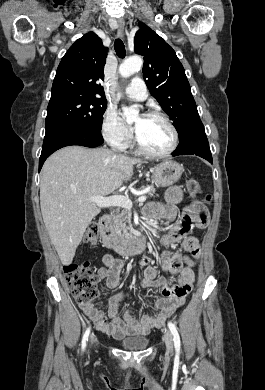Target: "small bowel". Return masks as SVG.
I'll use <instances>...</instances> for the list:
<instances>
[{
  "label": "small bowel",
  "instance_id": "small-bowel-1",
  "mask_svg": "<svg viewBox=\"0 0 265 390\" xmlns=\"http://www.w3.org/2000/svg\"><path fill=\"white\" fill-rule=\"evenodd\" d=\"M165 198L164 204H148L144 209L145 217L161 219L165 223L172 222L177 216V205L183 200L182 190L172 186L167 190ZM208 219V210L204 205L197 201L190 202L184 207L180 222L172 225L169 232L160 238L163 246L181 243L182 249L190 254L187 256L181 251H162L159 260L167 277H160L156 267L149 264L148 258L142 260L144 278L141 285L159 288L162 294L155 302L156 312L153 315H142L139 320H135L131 317V311L126 310L123 316H119V303L130 295L129 292H120L110 299V320L94 304L81 305V309L94 322L96 328L104 334L120 338L126 335H145L152 329L161 327L192 290L195 279L193 266L199 257V242L190 232L193 224L198 228L206 227ZM102 263L103 267L97 273L99 279L105 280L109 289L116 288L124 269V261L105 254ZM172 277L177 278L175 285L170 282Z\"/></svg>",
  "mask_w": 265,
  "mask_h": 390
}]
</instances>
